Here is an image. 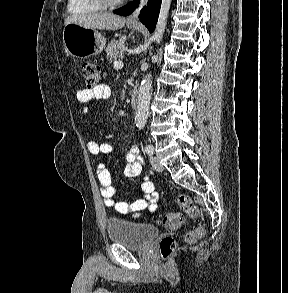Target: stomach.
Here are the masks:
<instances>
[{
  "mask_svg": "<svg viewBox=\"0 0 288 293\" xmlns=\"http://www.w3.org/2000/svg\"><path fill=\"white\" fill-rule=\"evenodd\" d=\"M133 30L135 25H129ZM63 43L66 52L75 58H88L101 53L106 39L96 29L84 27L78 23H69L63 30Z\"/></svg>",
  "mask_w": 288,
  "mask_h": 293,
  "instance_id": "0dacf381",
  "label": "stomach"
}]
</instances>
